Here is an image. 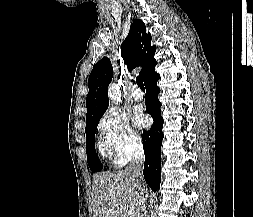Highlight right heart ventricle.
Instances as JSON below:
<instances>
[{
    "mask_svg": "<svg viewBox=\"0 0 253 217\" xmlns=\"http://www.w3.org/2000/svg\"><path fill=\"white\" fill-rule=\"evenodd\" d=\"M99 151L103 156L109 158L115 163L120 164L119 160L117 159V157L114 156L112 149L106 141L101 140L99 142Z\"/></svg>",
    "mask_w": 253,
    "mask_h": 217,
    "instance_id": "right-heart-ventricle-1",
    "label": "right heart ventricle"
}]
</instances>
